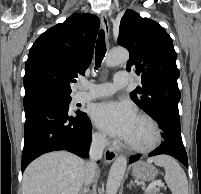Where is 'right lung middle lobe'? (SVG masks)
Wrapping results in <instances>:
<instances>
[{
	"label": "right lung middle lobe",
	"instance_id": "1",
	"mask_svg": "<svg viewBox=\"0 0 201 194\" xmlns=\"http://www.w3.org/2000/svg\"><path fill=\"white\" fill-rule=\"evenodd\" d=\"M55 97L61 99L62 101H64L66 104L69 105L70 101H71V96L70 95H54ZM78 113H84L81 111H77Z\"/></svg>",
	"mask_w": 201,
	"mask_h": 194
}]
</instances>
